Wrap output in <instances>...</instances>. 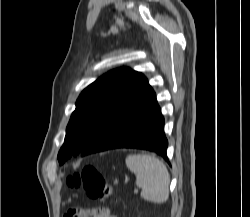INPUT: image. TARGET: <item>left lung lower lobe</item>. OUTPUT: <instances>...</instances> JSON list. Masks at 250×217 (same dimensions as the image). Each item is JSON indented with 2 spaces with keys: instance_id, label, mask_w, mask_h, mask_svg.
Listing matches in <instances>:
<instances>
[{
  "instance_id": "1",
  "label": "left lung lower lobe",
  "mask_w": 250,
  "mask_h": 217,
  "mask_svg": "<svg viewBox=\"0 0 250 217\" xmlns=\"http://www.w3.org/2000/svg\"><path fill=\"white\" fill-rule=\"evenodd\" d=\"M164 118L156 95L145 78L124 102L104 130L80 154L117 148H134L156 152L169 162L164 134Z\"/></svg>"
}]
</instances>
